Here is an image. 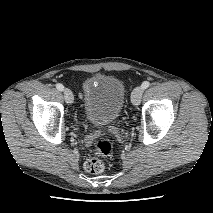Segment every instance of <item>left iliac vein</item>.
Wrapping results in <instances>:
<instances>
[{
  "instance_id": "1",
  "label": "left iliac vein",
  "mask_w": 213,
  "mask_h": 213,
  "mask_svg": "<svg viewBox=\"0 0 213 213\" xmlns=\"http://www.w3.org/2000/svg\"><path fill=\"white\" fill-rule=\"evenodd\" d=\"M142 95H143V88L142 87H136L132 94H131V101L133 103V105H139L140 102H141V98H142Z\"/></svg>"
}]
</instances>
